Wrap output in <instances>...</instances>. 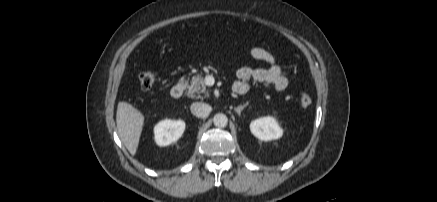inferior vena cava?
<instances>
[{
    "label": "inferior vena cava",
    "mask_w": 437,
    "mask_h": 202,
    "mask_svg": "<svg viewBox=\"0 0 437 202\" xmlns=\"http://www.w3.org/2000/svg\"><path fill=\"white\" fill-rule=\"evenodd\" d=\"M191 113L199 118H205L209 115L211 107L202 102H194L190 107Z\"/></svg>",
    "instance_id": "602c4592"
}]
</instances>
